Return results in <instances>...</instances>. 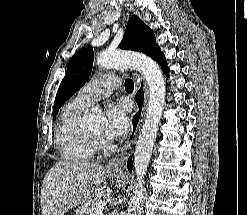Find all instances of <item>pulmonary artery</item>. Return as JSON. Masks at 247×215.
Masks as SVG:
<instances>
[{
	"label": "pulmonary artery",
	"mask_w": 247,
	"mask_h": 215,
	"mask_svg": "<svg viewBox=\"0 0 247 215\" xmlns=\"http://www.w3.org/2000/svg\"><path fill=\"white\" fill-rule=\"evenodd\" d=\"M120 85V78L109 75L94 79L76 95L75 101L84 107L109 96Z\"/></svg>",
	"instance_id": "pulmonary-artery-1"
}]
</instances>
